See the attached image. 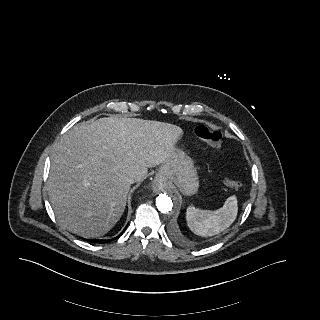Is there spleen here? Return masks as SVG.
<instances>
[{"mask_svg": "<svg viewBox=\"0 0 320 320\" xmlns=\"http://www.w3.org/2000/svg\"><path fill=\"white\" fill-rule=\"evenodd\" d=\"M237 213V198L232 195L226 199L221 208L215 211L189 206L186 211V220L191 231L208 237L227 229L235 221Z\"/></svg>", "mask_w": 320, "mask_h": 320, "instance_id": "1", "label": "spleen"}]
</instances>
